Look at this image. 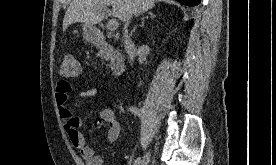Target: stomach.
Instances as JSON below:
<instances>
[{
	"instance_id": "obj_1",
	"label": "stomach",
	"mask_w": 276,
	"mask_h": 165,
	"mask_svg": "<svg viewBox=\"0 0 276 165\" xmlns=\"http://www.w3.org/2000/svg\"><path fill=\"white\" fill-rule=\"evenodd\" d=\"M83 35L87 41L92 42V41L96 40L98 31L93 26L84 25L83 26Z\"/></svg>"
}]
</instances>
